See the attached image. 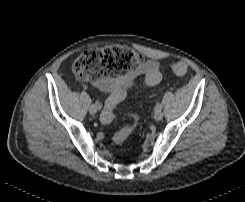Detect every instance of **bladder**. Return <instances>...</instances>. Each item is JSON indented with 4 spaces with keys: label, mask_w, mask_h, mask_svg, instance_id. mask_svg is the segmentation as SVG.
Listing matches in <instances>:
<instances>
[{
    "label": "bladder",
    "mask_w": 245,
    "mask_h": 202,
    "mask_svg": "<svg viewBox=\"0 0 245 202\" xmlns=\"http://www.w3.org/2000/svg\"><path fill=\"white\" fill-rule=\"evenodd\" d=\"M122 89H124L125 91H130L131 89L134 88L133 86V82L127 81V82H123L121 85Z\"/></svg>",
    "instance_id": "bladder-1"
}]
</instances>
